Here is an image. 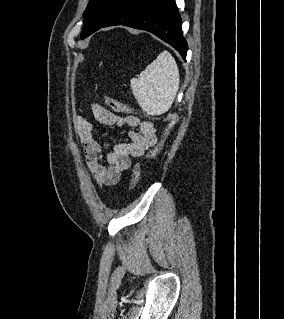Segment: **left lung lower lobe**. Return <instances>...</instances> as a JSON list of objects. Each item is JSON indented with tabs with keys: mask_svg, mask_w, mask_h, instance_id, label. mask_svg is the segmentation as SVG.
Returning a JSON list of instances; mask_svg holds the SVG:
<instances>
[{
	"mask_svg": "<svg viewBox=\"0 0 284 319\" xmlns=\"http://www.w3.org/2000/svg\"><path fill=\"white\" fill-rule=\"evenodd\" d=\"M114 25L149 31L174 47L186 61L188 45L175 0H124L103 27Z\"/></svg>",
	"mask_w": 284,
	"mask_h": 319,
	"instance_id": "1",
	"label": "left lung lower lobe"
}]
</instances>
